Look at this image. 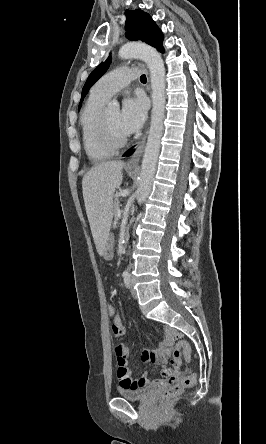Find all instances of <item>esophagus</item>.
<instances>
[{
	"instance_id": "obj_1",
	"label": "esophagus",
	"mask_w": 266,
	"mask_h": 444,
	"mask_svg": "<svg viewBox=\"0 0 266 444\" xmlns=\"http://www.w3.org/2000/svg\"><path fill=\"white\" fill-rule=\"evenodd\" d=\"M147 133H148V129L145 131L142 139L137 144L135 152L130 157V159L127 161V163H126L127 167H137L138 166L139 161H140L143 151H144Z\"/></svg>"
}]
</instances>
